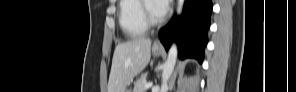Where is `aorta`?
Returning <instances> with one entry per match:
<instances>
[{
	"mask_svg": "<svg viewBox=\"0 0 296 92\" xmlns=\"http://www.w3.org/2000/svg\"><path fill=\"white\" fill-rule=\"evenodd\" d=\"M183 5H184V0H178V7H177L178 14H181ZM176 59H177V47L175 44H172L168 52V58L163 67L161 92H166L168 89V81L174 70Z\"/></svg>",
	"mask_w": 296,
	"mask_h": 92,
	"instance_id": "obj_1",
	"label": "aorta"
}]
</instances>
